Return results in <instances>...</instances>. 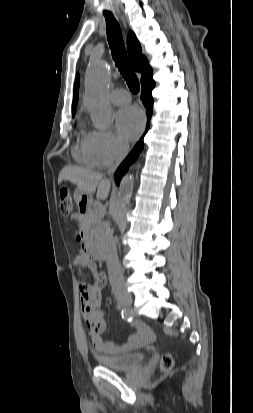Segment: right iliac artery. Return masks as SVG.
<instances>
[{"mask_svg":"<svg viewBox=\"0 0 253 413\" xmlns=\"http://www.w3.org/2000/svg\"><path fill=\"white\" fill-rule=\"evenodd\" d=\"M118 309H120L121 316L124 320L131 321L132 316H131V313L128 310L121 308L120 305H118Z\"/></svg>","mask_w":253,"mask_h":413,"instance_id":"right-iliac-artery-1","label":"right iliac artery"}]
</instances>
